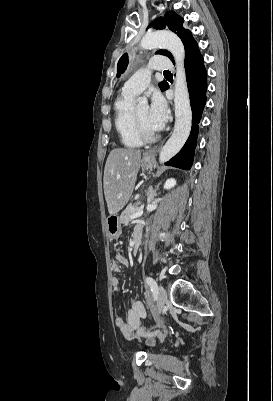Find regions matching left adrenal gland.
Masks as SVG:
<instances>
[{"mask_svg":"<svg viewBox=\"0 0 273 401\" xmlns=\"http://www.w3.org/2000/svg\"><path fill=\"white\" fill-rule=\"evenodd\" d=\"M161 184V182H158L156 188H153V186H149L147 196H148V205H150L151 201H153V198L157 196V190L158 186Z\"/></svg>","mask_w":273,"mask_h":401,"instance_id":"left-adrenal-gland-1","label":"left adrenal gland"}]
</instances>
